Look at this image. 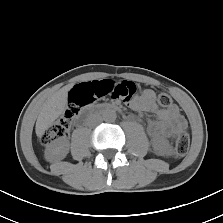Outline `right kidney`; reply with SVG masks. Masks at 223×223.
Segmentation results:
<instances>
[{
  "instance_id": "ca27d5eb",
  "label": "right kidney",
  "mask_w": 223,
  "mask_h": 223,
  "mask_svg": "<svg viewBox=\"0 0 223 223\" xmlns=\"http://www.w3.org/2000/svg\"><path fill=\"white\" fill-rule=\"evenodd\" d=\"M69 152V142L65 139H57L49 144L45 150V158L49 161L60 160L67 156Z\"/></svg>"
}]
</instances>
